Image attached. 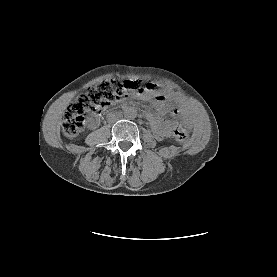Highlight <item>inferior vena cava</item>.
<instances>
[{"label": "inferior vena cava", "mask_w": 277, "mask_h": 277, "mask_svg": "<svg viewBox=\"0 0 277 277\" xmlns=\"http://www.w3.org/2000/svg\"><path fill=\"white\" fill-rule=\"evenodd\" d=\"M122 117L120 112H111L108 114L107 116V120L109 122H115L117 120H119Z\"/></svg>", "instance_id": "602c4592"}]
</instances>
